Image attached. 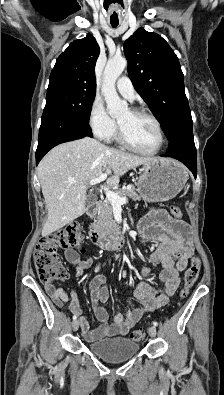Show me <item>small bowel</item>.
<instances>
[{
	"label": "small bowel",
	"instance_id": "1",
	"mask_svg": "<svg viewBox=\"0 0 224 395\" xmlns=\"http://www.w3.org/2000/svg\"><path fill=\"white\" fill-rule=\"evenodd\" d=\"M138 231L144 241L158 242L149 257V262L162 266L159 279L164 283V289L156 290L147 281L138 283L131 291L137 305L125 314H117L112 323L108 322V316L103 307L108 300L106 278L103 275L95 276L89 284L93 312L100 323L95 330L90 329L89 322L82 315L77 294L73 290L70 295H67L51 283H44L46 292L57 306L61 307L69 302L70 310L79 316L82 334L89 342L114 335H126L145 313L165 306L177 290L180 273L186 268L188 260L193 255V234L190 226L182 220L170 217L163 209H153L144 216L139 221ZM64 256L69 263L74 265L78 276H81L92 265L91 257L81 259L74 249H65ZM142 275L145 279L150 278L151 271L147 266L142 267Z\"/></svg>",
	"mask_w": 224,
	"mask_h": 395
}]
</instances>
